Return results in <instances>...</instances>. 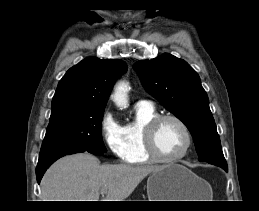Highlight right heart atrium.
<instances>
[{
	"label": "right heart atrium",
	"instance_id": "d8ad5b80",
	"mask_svg": "<svg viewBox=\"0 0 259 211\" xmlns=\"http://www.w3.org/2000/svg\"><path fill=\"white\" fill-rule=\"evenodd\" d=\"M100 134L108 150L117 158H122L124 143L122 127L110 111H105L100 119Z\"/></svg>",
	"mask_w": 259,
	"mask_h": 211
}]
</instances>
